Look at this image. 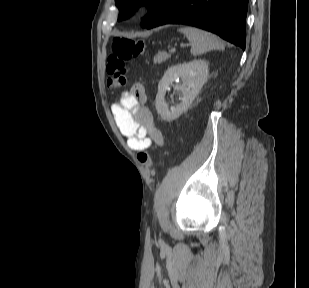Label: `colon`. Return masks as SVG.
<instances>
[{
  "mask_svg": "<svg viewBox=\"0 0 309 288\" xmlns=\"http://www.w3.org/2000/svg\"><path fill=\"white\" fill-rule=\"evenodd\" d=\"M145 43L142 40L117 38L112 45V53L107 58L106 71L108 74L107 85L109 88H121L127 84L126 61L143 55ZM138 161L147 167L152 164L148 150H141L137 155Z\"/></svg>",
  "mask_w": 309,
  "mask_h": 288,
  "instance_id": "colon-1",
  "label": "colon"
}]
</instances>
